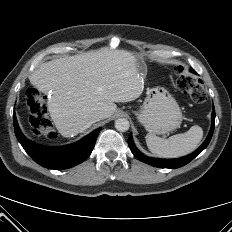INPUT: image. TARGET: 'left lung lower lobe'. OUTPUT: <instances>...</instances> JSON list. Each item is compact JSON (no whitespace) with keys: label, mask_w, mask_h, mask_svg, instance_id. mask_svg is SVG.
Listing matches in <instances>:
<instances>
[{"label":"left lung lower lobe","mask_w":232,"mask_h":232,"mask_svg":"<svg viewBox=\"0 0 232 232\" xmlns=\"http://www.w3.org/2000/svg\"><path fill=\"white\" fill-rule=\"evenodd\" d=\"M190 71L193 73H196L195 70H193L192 68L190 69ZM214 127H215V109L213 107L212 125H211L209 135L206 138L205 142L192 154L185 156V157H182V158H178V159H156V158H150V157L143 155L135 147L131 135L128 138V145H129V148H130L131 152L133 153V155L135 157H137L140 161L147 163L149 165H152L154 167L175 169V168L182 167V166L186 165L187 163H189L192 159H194L199 153H201L207 147V145L209 144V142L212 138Z\"/></svg>","instance_id":"1"}]
</instances>
